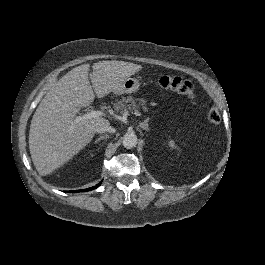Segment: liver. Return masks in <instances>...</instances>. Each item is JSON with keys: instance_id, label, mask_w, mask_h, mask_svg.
Segmentation results:
<instances>
[{"instance_id": "liver-1", "label": "liver", "mask_w": 265, "mask_h": 265, "mask_svg": "<svg viewBox=\"0 0 265 265\" xmlns=\"http://www.w3.org/2000/svg\"><path fill=\"white\" fill-rule=\"evenodd\" d=\"M89 64L73 68L55 83L38 105L30 124L29 149L42 176L68 162L93 138L97 126L108 121L101 117L75 121L80 108L95 98L108 95L117 84L142 69L124 61L94 63L89 81Z\"/></svg>"}]
</instances>
